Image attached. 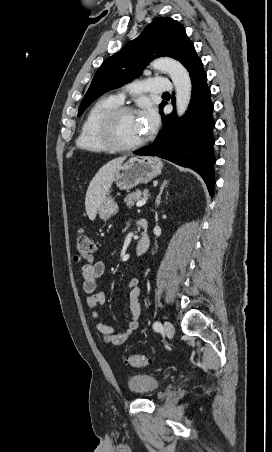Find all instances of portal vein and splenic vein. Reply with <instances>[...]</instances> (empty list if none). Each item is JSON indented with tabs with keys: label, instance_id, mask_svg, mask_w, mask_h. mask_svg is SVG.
Masks as SVG:
<instances>
[{
	"label": "portal vein and splenic vein",
	"instance_id": "obj_1",
	"mask_svg": "<svg viewBox=\"0 0 272 452\" xmlns=\"http://www.w3.org/2000/svg\"><path fill=\"white\" fill-rule=\"evenodd\" d=\"M146 202H147V197H144L143 199L137 201L136 206L137 207H142V206H144L146 204Z\"/></svg>",
	"mask_w": 272,
	"mask_h": 452
}]
</instances>
